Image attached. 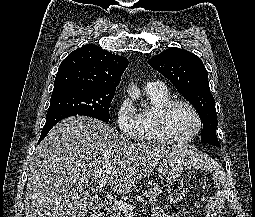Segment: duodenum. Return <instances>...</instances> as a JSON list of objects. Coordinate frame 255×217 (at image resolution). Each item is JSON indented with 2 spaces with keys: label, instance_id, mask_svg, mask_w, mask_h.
<instances>
[{
  "label": "duodenum",
  "instance_id": "1",
  "mask_svg": "<svg viewBox=\"0 0 255 217\" xmlns=\"http://www.w3.org/2000/svg\"><path fill=\"white\" fill-rule=\"evenodd\" d=\"M90 217H104V213L102 210H98V211H95L93 212Z\"/></svg>",
  "mask_w": 255,
  "mask_h": 217
}]
</instances>
